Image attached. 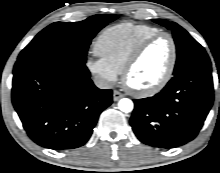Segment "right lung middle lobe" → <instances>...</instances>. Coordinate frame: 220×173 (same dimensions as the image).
I'll use <instances>...</instances> for the list:
<instances>
[{
    "instance_id": "1",
    "label": "right lung middle lobe",
    "mask_w": 220,
    "mask_h": 173,
    "mask_svg": "<svg viewBox=\"0 0 220 173\" xmlns=\"http://www.w3.org/2000/svg\"><path fill=\"white\" fill-rule=\"evenodd\" d=\"M118 16L99 14L81 22H55L43 29L19 54L18 59L47 52H64L86 62L93 37Z\"/></svg>"
}]
</instances>
